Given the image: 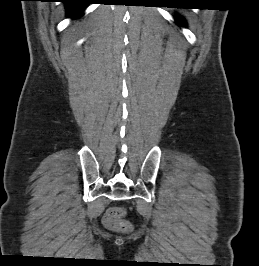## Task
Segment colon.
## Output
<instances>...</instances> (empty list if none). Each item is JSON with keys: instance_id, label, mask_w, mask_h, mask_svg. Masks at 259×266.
I'll list each match as a JSON object with an SVG mask.
<instances>
[{"instance_id": "5ec220e1", "label": "colon", "mask_w": 259, "mask_h": 266, "mask_svg": "<svg viewBox=\"0 0 259 266\" xmlns=\"http://www.w3.org/2000/svg\"><path fill=\"white\" fill-rule=\"evenodd\" d=\"M126 211L121 207H114L108 210L104 217V224L112 230L129 232L132 229V225L127 221L125 217Z\"/></svg>"}]
</instances>
